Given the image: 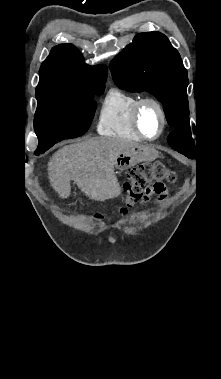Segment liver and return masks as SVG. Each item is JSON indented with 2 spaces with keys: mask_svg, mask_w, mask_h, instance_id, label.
<instances>
[{
  "mask_svg": "<svg viewBox=\"0 0 221 379\" xmlns=\"http://www.w3.org/2000/svg\"><path fill=\"white\" fill-rule=\"evenodd\" d=\"M138 144L110 137H94L66 145L48 162V175L53 189L61 198L71 193L70 181L92 200L117 197L120 186L114 173L118 156Z\"/></svg>",
  "mask_w": 221,
  "mask_h": 379,
  "instance_id": "1",
  "label": "liver"
}]
</instances>
